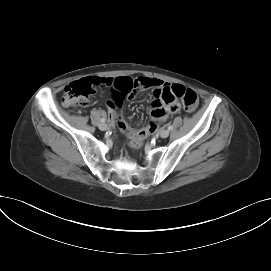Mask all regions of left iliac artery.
Segmentation results:
<instances>
[{
    "mask_svg": "<svg viewBox=\"0 0 271 271\" xmlns=\"http://www.w3.org/2000/svg\"><path fill=\"white\" fill-rule=\"evenodd\" d=\"M173 129V126L172 125H169L168 126V130H172Z\"/></svg>",
    "mask_w": 271,
    "mask_h": 271,
    "instance_id": "left-iliac-artery-1",
    "label": "left iliac artery"
}]
</instances>
